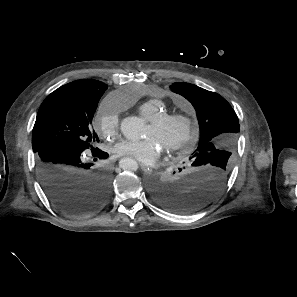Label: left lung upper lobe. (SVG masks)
Segmentation results:
<instances>
[{"label":"left lung upper lobe","instance_id":"1","mask_svg":"<svg viewBox=\"0 0 297 297\" xmlns=\"http://www.w3.org/2000/svg\"><path fill=\"white\" fill-rule=\"evenodd\" d=\"M171 90L189 100L198 116L200 141L189 159L215 161L229 171L240 130L238 117L230 104L219 94L190 83H174Z\"/></svg>","mask_w":297,"mask_h":297}]
</instances>
